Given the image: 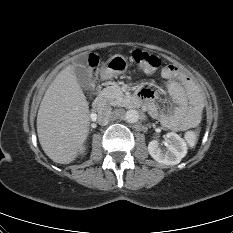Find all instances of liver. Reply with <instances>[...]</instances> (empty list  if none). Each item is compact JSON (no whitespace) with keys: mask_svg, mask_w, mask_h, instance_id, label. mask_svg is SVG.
Returning <instances> with one entry per match:
<instances>
[{"mask_svg":"<svg viewBox=\"0 0 233 233\" xmlns=\"http://www.w3.org/2000/svg\"><path fill=\"white\" fill-rule=\"evenodd\" d=\"M89 106L75 75V64L62 69L46 90L37 115V133L54 162L74 161L87 139Z\"/></svg>","mask_w":233,"mask_h":233,"instance_id":"liver-1","label":"liver"}]
</instances>
